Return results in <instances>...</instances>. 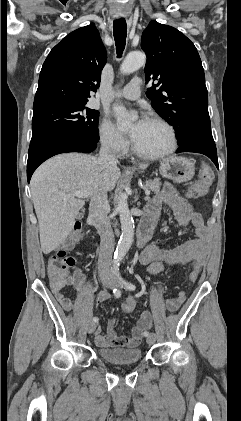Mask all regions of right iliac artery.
<instances>
[{"mask_svg":"<svg viewBox=\"0 0 241 421\" xmlns=\"http://www.w3.org/2000/svg\"><path fill=\"white\" fill-rule=\"evenodd\" d=\"M113 295H114L115 298H119L121 296V292L117 288H114L113 289ZM98 320H99L98 317L93 318L94 322H98Z\"/></svg>","mask_w":241,"mask_h":421,"instance_id":"1","label":"right iliac artery"}]
</instances>
